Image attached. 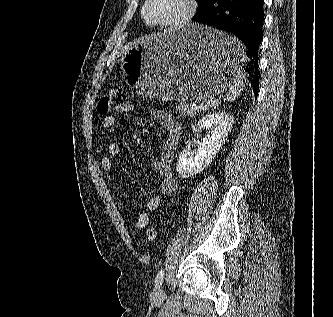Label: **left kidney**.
I'll return each instance as SVG.
<instances>
[{
    "label": "left kidney",
    "mask_w": 333,
    "mask_h": 317,
    "mask_svg": "<svg viewBox=\"0 0 333 317\" xmlns=\"http://www.w3.org/2000/svg\"><path fill=\"white\" fill-rule=\"evenodd\" d=\"M234 123L229 113L213 112L205 115L198 121V131L208 130L206 138L198 145L193 155L189 148H184L177 162V172L180 177L187 178L203 171L222 147Z\"/></svg>",
    "instance_id": "1"
}]
</instances>
